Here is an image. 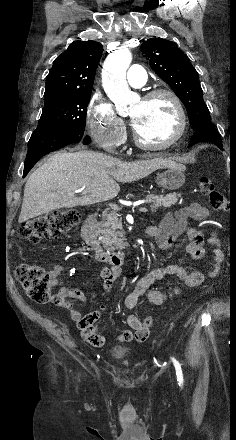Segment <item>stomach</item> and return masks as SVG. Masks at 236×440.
Here are the masks:
<instances>
[{"label": "stomach", "instance_id": "1", "mask_svg": "<svg viewBox=\"0 0 236 440\" xmlns=\"http://www.w3.org/2000/svg\"><path fill=\"white\" fill-rule=\"evenodd\" d=\"M184 171L183 165L173 163L165 167V171L157 174L156 183L164 189L176 190L185 182Z\"/></svg>", "mask_w": 236, "mask_h": 440}]
</instances>
